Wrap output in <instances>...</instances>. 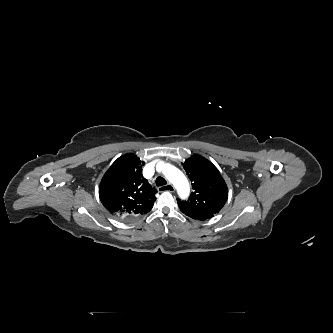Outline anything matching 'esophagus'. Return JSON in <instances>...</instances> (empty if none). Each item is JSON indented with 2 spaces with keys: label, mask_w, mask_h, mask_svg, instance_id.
I'll use <instances>...</instances> for the list:
<instances>
[{
  "label": "esophagus",
  "mask_w": 333,
  "mask_h": 333,
  "mask_svg": "<svg viewBox=\"0 0 333 333\" xmlns=\"http://www.w3.org/2000/svg\"><path fill=\"white\" fill-rule=\"evenodd\" d=\"M160 190L173 192L175 188L171 183H168L166 186L160 187Z\"/></svg>",
  "instance_id": "1"
}]
</instances>
